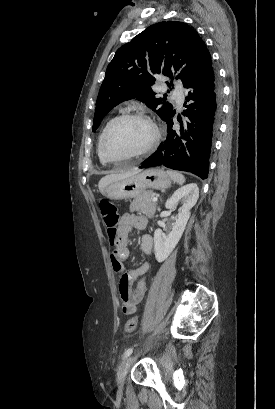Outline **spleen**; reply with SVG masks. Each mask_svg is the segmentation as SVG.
I'll list each match as a JSON object with an SVG mask.
<instances>
[{"instance_id":"obj_1","label":"spleen","mask_w":275,"mask_h":409,"mask_svg":"<svg viewBox=\"0 0 275 409\" xmlns=\"http://www.w3.org/2000/svg\"><path fill=\"white\" fill-rule=\"evenodd\" d=\"M167 172L174 182H179V184H183V182H185V176L180 174V172H175V170H167Z\"/></svg>"}]
</instances>
